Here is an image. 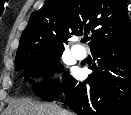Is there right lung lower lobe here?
Listing matches in <instances>:
<instances>
[{
  "label": "right lung lower lobe",
  "mask_w": 131,
  "mask_h": 115,
  "mask_svg": "<svg viewBox=\"0 0 131 115\" xmlns=\"http://www.w3.org/2000/svg\"><path fill=\"white\" fill-rule=\"evenodd\" d=\"M98 66L86 81L71 77L66 104L78 115H131V39L92 52Z\"/></svg>",
  "instance_id": "right-lung-lower-lobe-1"
}]
</instances>
